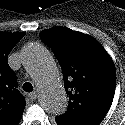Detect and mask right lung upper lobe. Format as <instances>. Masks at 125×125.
I'll return each mask as SVG.
<instances>
[{"label": "right lung upper lobe", "instance_id": "obj_1", "mask_svg": "<svg viewBox=\"0 0 125 125\" xmlns=\"http://www.w3.org/2000/svg\"><path fill=\"white\" fill-rule=\"evenodd\" d=\"M25 33L0 32V125H8L21 115L26 102L17 90V78L7 58Z\"/></svg>", "mask_w": 125, "mask_h": 125}]
</instances>
